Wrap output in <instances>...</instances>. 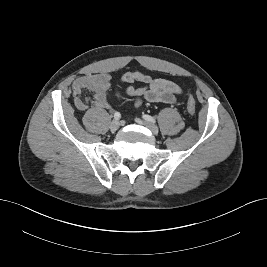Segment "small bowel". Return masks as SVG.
<instances>
[{
	"label": "small bowel",
	"mask_w": 267,
	"mask_h": 267,
	"mask_svg": "<svg viewBox=\"0 0 267 267\" xmlns=\"http://www.w3.org/2000/svg\"><path fill=\"white\" fill-rule=\"evenodd\" d=\"M111 80L109 73L87 74L76 78L72 84L76 108L86 111L91 104L97 109H109L107 93L111 88ZM135 81L144 83V86L125 88L126 95L132 99L135 107L141 106L144 101L172 104L182 93L181 88L175 82L162 78L154 79L140 70L127 71L121 77V82L124 84H131ZM85 91L91 92L92 98H83ZM117 97L120 98L121 95L117 93Z\"/></svg>",
	"instance_id": "obj_1"
}]
</instances>
